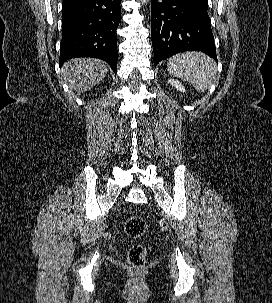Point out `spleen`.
I'll return each instance as SVG.
<instances>
[{
	"label": "spleen",
	"mask_w": 272,
	"mask_h": 303,
	"mask_svg": "<svg viewBox=\"0 0 272 303\" xmlns=\"http://www.w3.org/2000/svg\"><path fill=\"white\" fill-rule=\"evenodd\" d=\"M167 66L170 74L188 81L198 92H205L216 81V63L200 52L177 54L169 59Z\"/></svg>",
	"instance_id": "1"
}]
</instances>
